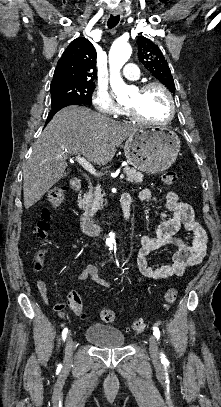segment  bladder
<instances>
[{
  "instance_id": "1",
  "label": "bladder",
  "mask_w": 221,
  "mask_h": 407,
  "mask_svg": "<svg viewBox=\"0 0 221 407\" xmlns=\"http://www.w3.org/2000/svg\"><path fill=\"white\" fill-rule=\"evenodd\" d=\"M85 339L99 348H115L124 344L125 335L114 326L93 324L86 328Z\"/></svg>"
}]
</instances>
